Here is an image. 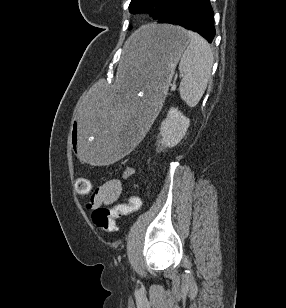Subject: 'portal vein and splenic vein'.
I'll return each mask as SVG.
<instances>
[{"label": "portal vein and splenic vein", "instance_id": "18ae733b", "mask_svg": "<svg viewBox=\"0 0 286 308\" xmlns=\"http://www.w3.org/2000/svg\"><path fill=\"white\" fill-rule=\"evenodd\" d=\"M172 89H175V86H172Z\"/></svg>", "mask_w": 286, "mask_h": 308}]
</instances>
